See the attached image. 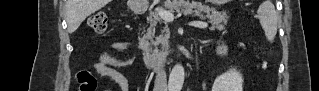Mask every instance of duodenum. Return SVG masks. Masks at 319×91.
Wrapping results in <instances>:
<instances>
[{
	"instance_id": "duodenum-1",
	"label": "duodenum",
	"mask_w": 319,
	"mask_h": 91,
	"mask_svg": "<svg viewBox=\"0 0 319 91\" xmlns=\"http://www.w3.org/2000/svg\"><path fill=\"white\" fill-rule=\"evenodd\" d=\"M139 13H143V11H140ZM172 55H176L174 52L172 53H159V54H150L147 52L142 53L143 61L145 63V66L149 70H155L158 68H163L167 65Z\"/></svg>"
}]
</instances>
